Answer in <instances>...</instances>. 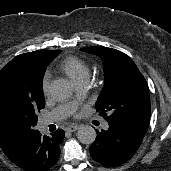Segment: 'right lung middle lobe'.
<instances>
[{"mask_svg": "<svg viewBox=\"0 0 171 171\" xmlns=\"http://www.w3.org/2000/svg\"><path fill=\"white\" fill-rule=\"evenodd\" d=\"M49 62L16 56L0 71V147L18 152L37 134V113L45 107L43 76Z\"/></svg>", "mask_w": 171, "mask_h": 171, "instance_id": "right-lung-middle-lobe-1", "label": "right lung middle lobe"}]
</instances>
